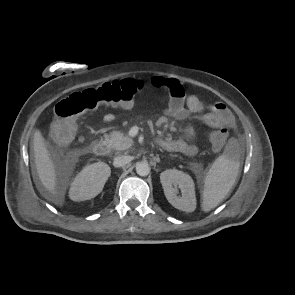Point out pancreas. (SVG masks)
<instances>
[{
    "mask_svg": "<svg viewBox=\"0 0 295 295\" xmlns=\"http://www.w3.org/2000/svg\"><path fill=\"white\" fill-rule=\"evenodd\" d=\"M105 141L116 151H123L133 145V140L118 131H113L109 135H105Z\"/></svg>",
    "mask_w": 295,
    "mask_h": 295,
    "instance_id": "pancreas-1",
    "label": "pancreas"
}]
</instances>
